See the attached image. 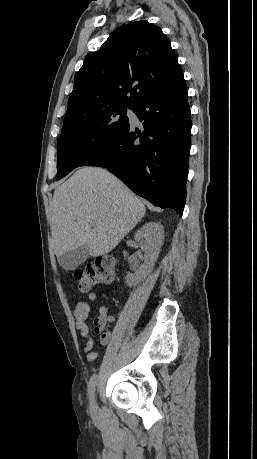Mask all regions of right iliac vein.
I'll use <instances>...</instances> for the list:
<instances>
[{"label": "right iliac vein", "instance_id": "63e3f726", "mask_svg": "<svg viewBox=\"0 0 257 459\" xmlns=\"http://www.w3.org/2000/svg\"><path fill=\"white\" fill-rule=\"evenodd\" d=\"M91 404H92V406H94V401H93V400H92V403H91Z\"/></svg>", "mask_w": 257, "mask_h": 459}]
</instances>
